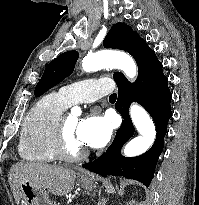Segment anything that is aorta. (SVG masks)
<instances>
[{
    "label": "aorta",
    "mask_w": 199,
    "mask_h": 205,
    "mask_svg": "<svg viewBox=\"0 0 199 205\" xmlns=\"http://www.w3.org/2000/svg\"><path fill=\"white\" fill-rule=\"evenodd\" d=\"M82 68L86 72L98 71L103 68L121 69L131 80L137 76L135 61L128 54L122 51L102 50L94 54H88L82 60ZM78 113V108L72 109ZM130 116L140 136L129 141L123 150L127 157H134L145 153L154 143L156 130L149 114L138 104L130 107Z\"/></svg>",
    "instance_id": "762f6f07"
}]
</instances>
